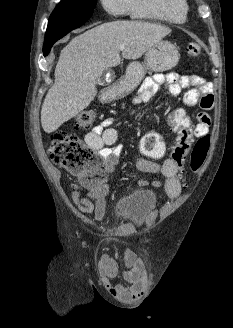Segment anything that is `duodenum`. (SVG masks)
I'll return each mask as SVG.
<instances>
[{
	"label": "duodenum",
	"mask_w": 233,
	"mask_h": 328,
	"mask_svg": "<svg viewBox=\"0 0 233 328\" xmlns=\"http://www.w3.org/2000/svg\"><path fill=\"white\" fill-rule=\"evenodd\" d=\"M104 101H108L113 97V90L111 88H105L101 95Z\"/></svg>",
	"instance_id": "410a0bca"
}]
</instances>
